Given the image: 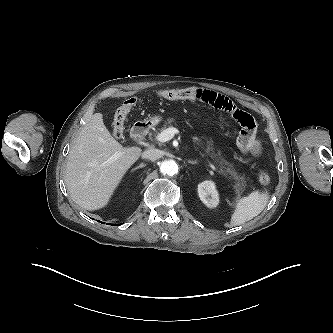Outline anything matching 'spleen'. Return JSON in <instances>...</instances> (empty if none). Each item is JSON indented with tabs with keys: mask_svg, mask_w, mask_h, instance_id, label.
<instances>
[{
	"mask_svg": "<svg viewBox=\"0 0 333 333\" xmlns=\"http://www.w3.org/2000/svg\"><path fill=\"white\" fill-rule=\"evenodd\" d=\"M268 193L252 192L247 197L236 200L235 211L231 216V226L242 225L259 215L268 203Z\"/></svg>",
	"mask_w": 333,
	"mask_h": 333,
	"instance_id": "1",
	"label": "spleen"
}]
</instances>
